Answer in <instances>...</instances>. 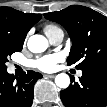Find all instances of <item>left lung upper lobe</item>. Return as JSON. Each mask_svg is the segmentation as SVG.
<instances>
[{"label": "left lung upper lobe", "mask_w": 107, "mask_h": 107, "mask_svg": "<svg viewBox=\"0 0 107 107\" xmlns=\"http://www.w3.org/2000/svg\"><path fill=\"white\" fill-rule=\"evenodd\" d=\"M61 24L73 42L67 64L77 69L107 68V17L84 6L72 5L44 14Z\"/></svg>", "instance_id": "left-lung-upper-lobe-1"}]
</instances>
